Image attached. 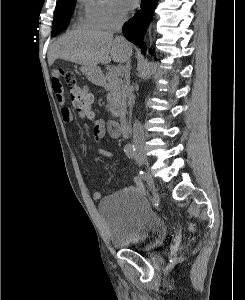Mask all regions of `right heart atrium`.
I'll use <instances>...</instances> for the list:
<instances>
[{"label":"right heart atrium","mask_w":245,"mask_h":300,"mask_svg":"<svg viewBox=\"0 0 245 300\" xmlns=\"http://www.w3.org/2000/svg\"><path fill=\"white\" fill-rule=\"evenodd\" d=\"M120 0H81L86 21L98 29H110L124 21Z\"/></svg>","instance_id":"obj_1"}]
</instances>
